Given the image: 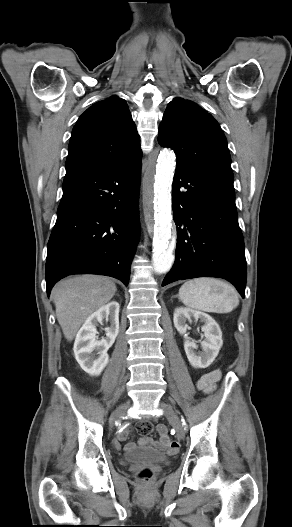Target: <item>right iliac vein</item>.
Here are the masks:
<instances>
[{
  "label": "right iliac vein",
  "mask_w": 292,
  "mask_h": 527,
  "mask_svg": "<svg viewBox=\"0 0 292 527\" xmlns=\"http://www.w3.org/2000/svg\"><path fill=\"white\" fill-rule=\"evenodd\" d=\"M128 407H129L128 404H124V405L120 406V407H119V408H118V409L112 414L111 419H110V422L113 423V422H115L118 418L122 417V416L125 414V412H126V410H127Z\"/></svg>",
  "instance_id": "obj_1"
}]
</instances>
